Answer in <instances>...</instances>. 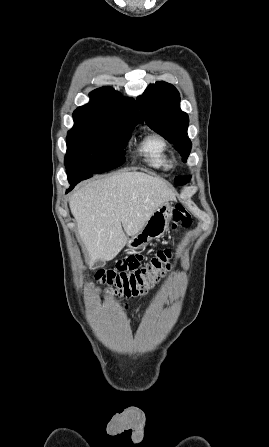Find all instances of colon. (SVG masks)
Here are the masks:
<instances>
[{
    "instance_id": "obj_1",
    "label": "colon",
    "mask_w": 269,
    "mask_h": 447,
    "mask_svg": "<svg viewBox=\"0 0 269 447\" xmlns=\"http://www.w3.org/2000/svg\"><path fill=\"white\" fill-rule=\"evenodd\" d=\"M191 215L182 205L172 212L171 230L187 227ZM173 254L169 250H160L150 260L142 261L141 253H128L120 257L116 266L107 271H98L86 282V291H100L102 287L109 294L123 298H138L149 294L155 285L167 277L171 270ZM129 271V272H123Z\"/></svg>"
}]
</instances>
